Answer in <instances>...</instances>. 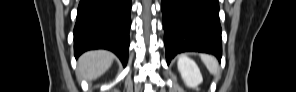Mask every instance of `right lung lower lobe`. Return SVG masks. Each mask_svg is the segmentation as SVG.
<instances>
[{"instance_id": "right-lung-lower-lobe-1", "label": "right lung lower lobe", "mask_w": 296, "mask_h": 92, "mask_svg": "<svg viewBox=\"0 0 296 92\" xmlns=\"http://www.w3.org/2000/svg\"><path fill=\"white\" fill-rule=\"evenodd\" d=\"M131 0H80L74 27V53L91 49L114 52L128 60Z\"/></svg>"}]
</instances>
